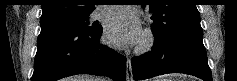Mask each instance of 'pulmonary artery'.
Returning <instances> with one entry per match:
<instances>
[{
	"instance_id": "e3ab8cb5",
	"label": "pulmonary artery",
	"mask_w": 237,
	"mask_h": 81,
	"mask_svg": "<svg viewBox=\"0 0 237 81\" xmlns=\"http://www.w3.org/2000/svg\"><path fill=\"white\" fill-rule=\"evenodd\" d=\"M119 11H120L119 6H110L108 8H105V9H102L100 11L95 12L93 14V18L94 19H100V18H103V17H106V16L116 14Z\"/></svg>"
}]
</instances>
